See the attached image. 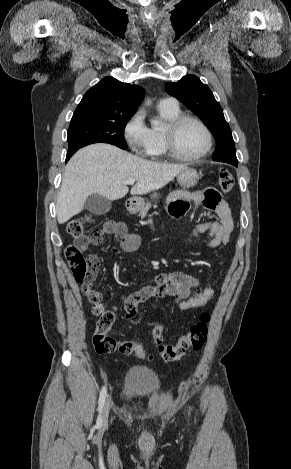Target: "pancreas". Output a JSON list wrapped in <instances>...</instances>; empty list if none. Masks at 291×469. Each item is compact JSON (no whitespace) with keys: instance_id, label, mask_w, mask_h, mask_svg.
Returning <instances> with one entry per match:
<instances>
[{"instance_id":"cf45deb5","label":"pancreas","mask_w":291,"mask_h":469,"mask_svg":"<svg viewBox=\"0 0 291 469\" xmlns=\"http://www.w3.org/2000/svg\"><path fill=\"white\" fill-rule=\"evenodd\" d=\"M151 207V203L147 202L146 204H144L141 209H140V213L139 215L141 216V218H145V216L147 215L149 209Z\"/></svg>"}]
</instances>
